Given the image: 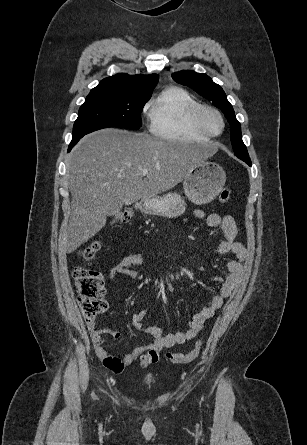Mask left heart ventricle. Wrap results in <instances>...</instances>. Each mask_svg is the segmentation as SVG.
I'll return each mask as SVG.
<instances>
[{"instance_id":"1","label":"left heart ventricle","mask_w":307,"mask_h":445,"mask_svg":"<svg viewBox=\"0 0 307 445\" xmlns=\"http://www.w3.org/2000/svg\"><path fill=\"white\" fill-rule=\"evenodd\" d=\"M211 126L215 133H219L223 129V123L221 119L217 116L211 118Z\"/></svg>"}]
</instances>
